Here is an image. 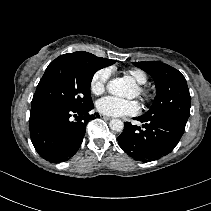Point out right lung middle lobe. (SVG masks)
I'll return each mask as SVG.
<instances>
[{
  "label": "right lung middle lobe",
  "instance_id": "obj_1",
  "mask_svg": "<svg viewBox=\"0 0 211 211\" xmlns=\"http://www.w3.org/2000/svg\"><path fill=\"white\" fill-rule=\"evenodd\" d=\"M106 65L89 57L61 55L52 61L41 78L31 108L56 106L82 109L92 104L90 85L96 71Z\"/></svg>",
  "mask_w": 211,
  "mask_h": 211
}]
</instances>
